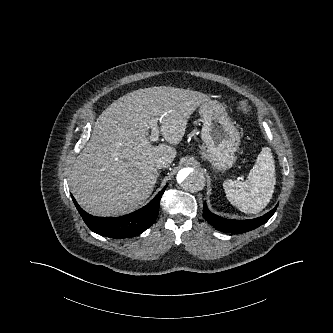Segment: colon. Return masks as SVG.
I'll use <instances>...</instances> for the list:
<instances>
[{
  "mask_svg": "<svg viewBox=\"0 0 333 333\" xmlns=\"http://www.w3.org/2000/svg\"><path fill=\"white\" fill-rule=\"evenodd\" d=\"M238 108L243 113H247L250 110V107H249L248 103L244 100H242L238 103Z\"/></svg>",
  "mask_w": 333,
  "mask_h": 333,
  "instance_id": "1",
  "label": "colon"
}]
</instances>
